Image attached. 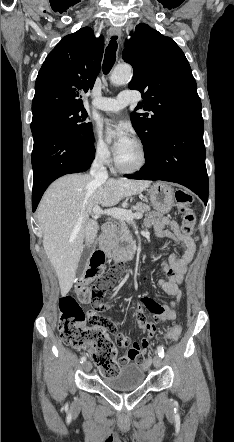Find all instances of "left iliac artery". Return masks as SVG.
<instances>
[{"instance_id": "44dca946", "label": "left iliac artery", "mask_w": 234, "mask_h": 442, "mask_svg": "<svg viewBox=\"0 0 234 442\" xmlns=\"http://www.w3.org/2000/svg\"><path fill=\"white\" fill-rule=\"evenodd\" d=\"M157 352H158V355H159L161 358L164 357V349H163V347L158 346V347H157Z\"/></svg>"}]
</instances>
